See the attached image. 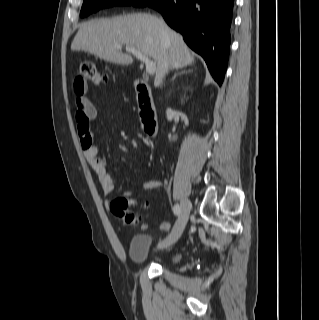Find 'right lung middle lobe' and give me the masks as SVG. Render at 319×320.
<instances>
[{"instance_id":"right-lung-middle-lobe-1","label":"right lung middle lobe","mask_w":319,"mask_h":320,"mask_svg":"<svg viewBox=\"0 0 319 320\" xmlns=\"http://www.w3.org/2000/svg\"><path fill=\"white\" fill-rule=\"evenodd\" d=\"M152 0H84L80 16L85 17L100 9L116 6V5H133L136 7H144Z\"/></svg>"}]
</instances>
